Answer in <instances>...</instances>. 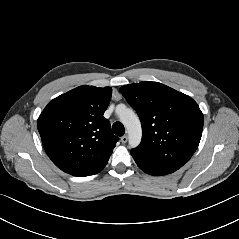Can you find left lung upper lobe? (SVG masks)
I'll return each mask as SVG.
<instances>
[{"instance_id":"1","label":"left lung upper lobe","mask_w":239,"mask_h":239,"mask_svg":"<svg viewBox=\"0 0 239 239\" xmlns=\"http://www.w3.org/2000/svg\"><path fill=\"white\" fill-rule=\"evenodd\" d=\"M142 124L141 144L131 150L136 163L170 174L196 151L204 124L197 103L188 95L158 82L120 88Z\"/></svg>"}]
</instances>
